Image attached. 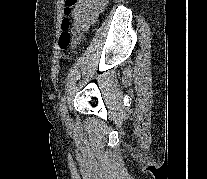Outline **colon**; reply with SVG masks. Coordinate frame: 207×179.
<instances>
[{"label": "colon", "instance_id": "obj_1", "mask_svg": "<svg viewBox=\"0 0 207 179\" xmlns=\"http://www.w3.org/2000/svg\"><path fill=\"white\" fill-rule=\"evenodd\" d=\"M78 3L79 0H65L64 9H63L65 17L61 21V33L58 38L59 46L63 49L68 48L73 41V36L69 31L71 25L69 16L71 15L73 8Z\"/></svg>", "mask_w": 207, "mask_h": 179}]
</instances>
